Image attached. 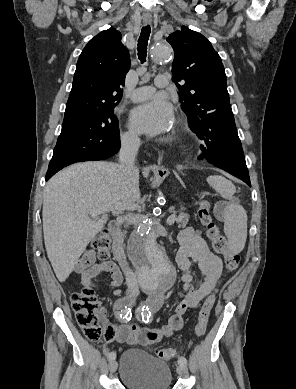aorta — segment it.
Wrapping results in <instances>:
<instances>
[{
    "label": "aorta",
    "mask_w": 296,
    "mask_h": 389,
    "mask_svg": "<svg viewBox=\"0 0 296 389\" xmlns=\"http://www.w3.org/2000/svg\"><path fill=\"white\" fill-rule=\"evenodd\" d=\"M150 59L152 62H172L173 51L167 43H157L152 47ZM128 253L145 292L155 295L173 286L175 269L150 220H144L135 229L128 242Z\"/></svg>",
    "instance_id": "1"
}]
</instances>
